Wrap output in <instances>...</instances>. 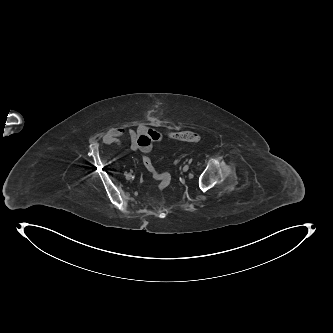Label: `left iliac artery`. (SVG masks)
Wrapping results in <instances>:
<instances>
[{"mask_svg":"<svg viewBox=\"0 0 333 333\" xmlns=\"http://www.w3.org/2000/svg\"><path fill=\"white\" fill-rule=\"evenodd\" d=\"M191 162H192V159L189 160V163H191Z\"/></svg>","mask_w":333,"mask_h":333,"instance_id":"left-iliac-artery-1","label":"left iliac artery"}]
</instances>
